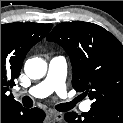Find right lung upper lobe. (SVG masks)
I'll use <instances>...</instances> for the list:
<instances>
[{
    "instance_id": "right-lung-upper-lobe-1",
    "label": "right lung upper lobe",
    "mask_w": 123,
    "mask_h": 123,
    "mask_svg": "<svg viewBox=\"0 0 123 123\" xmlns=\"http://www.w3.org/2000/svg\"><path fill=\"white\" fill-rule=\"evenodd\" d=\"M52 28V24L10 23L1 25V106L20 104L7 91L15 85L27 52Z\"/></svg>"
}]
</instances>
